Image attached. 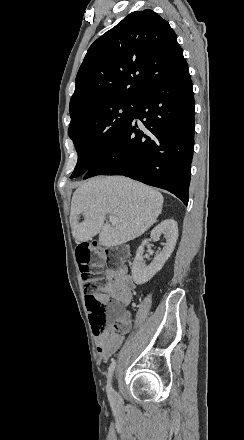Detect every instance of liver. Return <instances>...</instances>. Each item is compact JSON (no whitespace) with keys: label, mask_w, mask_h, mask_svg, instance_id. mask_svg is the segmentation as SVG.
I'll use <instances>...</instances> for the list:
<instances>
[{"label":"liver","mask_w":244,"mask_h":440,"mask_svg":"<svg viewBox=\"0 0 244 440\" xmlns=\"http://www.w3.org/2000/svg\"><path fill=\"white\" fill-rule=\"evenodd\" d=\"M162 206L160 192L130 178H90L72 196V236L77 242H88L99 234L101 246H121L147 232L157 222ZM79 214L85 216L83 222ZM106 214L117 216L118 224H105Z\"/></svg>","instance_id":"6515ba94"}]
</instances>
